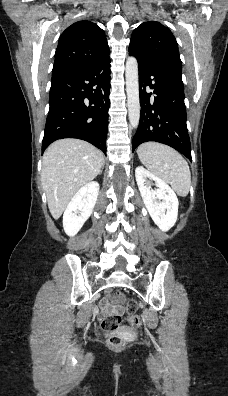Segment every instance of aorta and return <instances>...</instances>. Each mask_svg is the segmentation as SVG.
Wrapping results in <instances>:
<instances>
[{
    "mask_svg": "<svg viewBox=\"0 0 228 396\" xmlns=\"http://www.w3.org/2000/svg\"><path fill=\"white\" fill-rule=\"evenodd\" d=\"M125 76L129 121L133 128H137L140 120V102L138 63L135 57H128Z\"/></svg>",
    "mask_w": 228,
    "mask_h": 396,
    "instance_id": "aorta-1",
    "label": "aorta"
}]
</instances>
